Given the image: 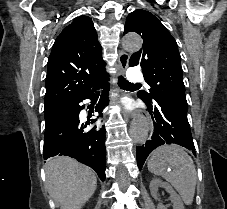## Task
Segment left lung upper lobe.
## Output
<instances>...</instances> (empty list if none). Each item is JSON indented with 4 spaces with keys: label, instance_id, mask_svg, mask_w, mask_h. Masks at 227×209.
<instances>
[{
    "label": "left lung upper lobe",
    "instance_id": "obj_1",
    "mask_svg": "<svg viewBox=\"0 0 227 209\" xmlns=\"http://www.w3.org/2000/svg\"><path fill=\"white\" fill-rule=\"evenodd\" d=\"M136 32L143 38V47L134 53L129 66H140L149 93L138 95L147 105L167 102L187 112L181 57L175 39L152 13L136 10L126 18L123 35Z\"/></svg>",
    "mask_w": 227,
    "mask_h": 209
}]
</instances>
